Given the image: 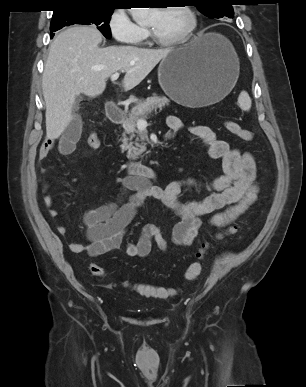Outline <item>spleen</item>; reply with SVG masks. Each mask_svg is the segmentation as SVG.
<instances>
[{
	"label": "spleen",
	"mask_w": 306,
	"mask_h": 387,
	"mask_svg": "<svg viewBox=\"0 0 306 387\" xmlns=\"http://www.w3.org/2000/svg\"><path fill=\"white\" fill-rule=\"evenodd\" d=\"M251 98L249 97V94L246 91H242L238 97V104L239 107L243 111H249L251 108Z\"/></svg>",
	"instance_id": "1"
}]
</instances>
